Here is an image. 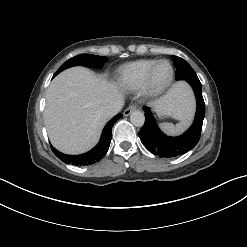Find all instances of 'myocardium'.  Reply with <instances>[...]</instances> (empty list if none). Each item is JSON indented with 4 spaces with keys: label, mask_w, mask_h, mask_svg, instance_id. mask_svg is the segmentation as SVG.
Here are the masks:
<instances>
[{
    "label": "myocardium",
    "mask_w": 247,
    "mask_h": 247,
    "mask_svg": "<svg viewBox=\"0 0 247 247\" xmlns=\"http://www.w3.org/2000/svg\"><path fill=\"white\" fill-rule=\"evenodd\" d=\"M167 62L170 66V75L166 81L160 84L154 82V73L159 64ZM174 78V67L168 59L157 60L148 70L146 77L141 85V93L146 97H154L162 93L172 82Z\"/></svg>",
    "instance_id": "1"
}]
</instances>
